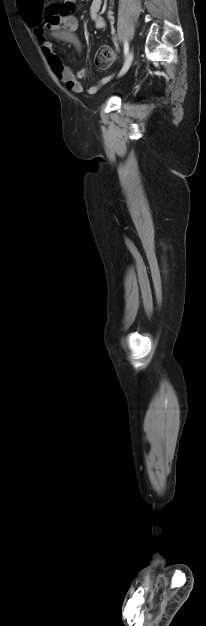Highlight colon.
Returning a JSON list of instances; mask_svg holds the SVG:
<instances>
[{
    "label": "colon",
    "instance_id": "colon-1",
    "mask_svg": "<svg viewBox=\"0 0 206 626\" xmlns=\"http://www.w3.org/2000/svg\"><path fill=\"white\" fill-rule=\"evenodd\" d=\"M114 59V53L111 47L104 45L102 46L97 55H96V65L100 69H107L110 67Z\"/></svg>",
    "mask_w": 206,
    "mask_h": 626
}]
</instances>
